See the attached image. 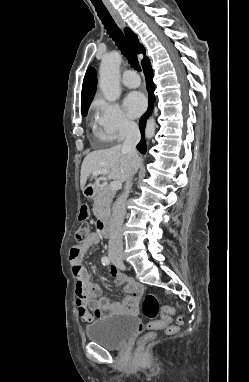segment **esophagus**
<instances>
[{"mask_svg": "<svg viewBox=\"0 0 249 382\" xmlns=\"http://www.w3.org/2000/svg\"><path fill=\"white\" fill-rule=\"evenodd\" d=\"M105 6L107 7L109 13L111 14V16L113 17V19L115 20V22L117 23V25L121 28V29H124L125 27V22L124 20L121 18L120 14L118 13V11L110 4V3H105Z\"/></svg>", "mask_w": 249, "mask_h": 382, "instance_id": "obj_1", "label": "esophagus"}]
</instances>
